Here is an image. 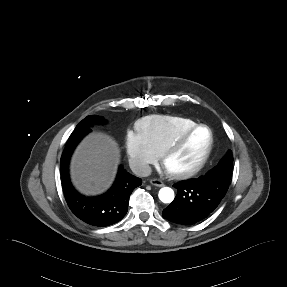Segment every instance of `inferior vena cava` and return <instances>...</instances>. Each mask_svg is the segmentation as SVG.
I'll list each match as a JSON object with an SVG mask.
<instances>
[{
  "label": "inferior vena cava",
  "instance_id": "1",
  "mask_svg": "<svg viewBox=\"0 0 287 287\" xmlns=\"http://www.w3.org/2000/svg\"><path fill=\"white\" fill-rule=\"evenodd\" d=\"M130 168L134 174L140 177H147L151 174V167L144 162L141 161H132L130 163Z\"/></svg>",
  "mask_w": 287,
  "mask_h": 287
}]
</instances>
